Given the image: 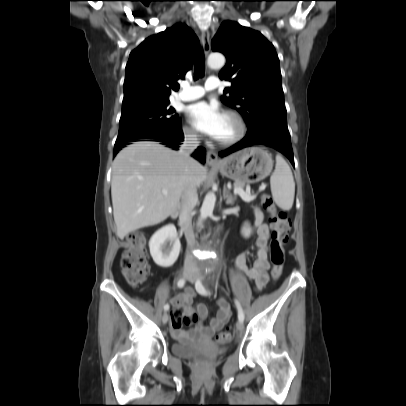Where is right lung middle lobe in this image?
<instances>
[{
  "label": "right lung middle lobe",
  "instance_id": "1",
  "mask_svg": "<svg viewBox=\"0 0 406 406\" xmlns=\"http://www.w3.org/2000/svg\"><path fill=\"white\" fill-rule=\"evenodd\" d=\"M169 101H142L123 106L117 140L172 130L180 122Z\"/></svg>",
  "mask_w": 406,
  "mask_h": 406
}]
</instances>
